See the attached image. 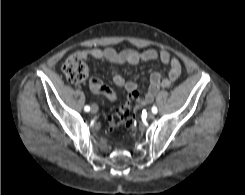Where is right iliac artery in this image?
Segmentation results:
<instances>
[{"instance_id":"obj_1","label":"right iliac artery","mask_w":245,"mask_h":195,"mask_svg":"<svg viewBox=\"0 0 245 195\" xmlns=\"http://www.w3.org/2000/svg\"><path fill=\"white\" fill-rule=\"evenodd\" d=\"M84 110H85L86 112H89V111H90V107H89V106H85V107H84Z\"/></svg>"}]
</instances>
